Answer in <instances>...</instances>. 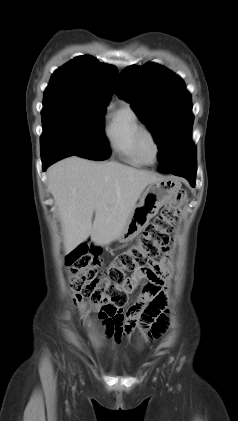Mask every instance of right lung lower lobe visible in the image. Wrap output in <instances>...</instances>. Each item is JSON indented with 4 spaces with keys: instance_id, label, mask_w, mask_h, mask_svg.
I'll list each match as a JSON object with an SVG mask.
<instances>
[{
    "instance_id": "obj_1",
    "label": "right lung lower lobe",
    "mask_w": 238,
    "mask_h": 421,
    "mask_svg": "<svg viewBox=\"0 0 238 421\" xmlns=\"http://www.w3.org/2000/svg\"><path fill=\"white\" fill-rule=\"evenodd\" d=\"M68 156L72 155L70 152L67 151L54 150L49 152L47 155L42 156L43 170L45 171L47 167L53 164L54 162Z\"/></svg>"
}]
</instances>
